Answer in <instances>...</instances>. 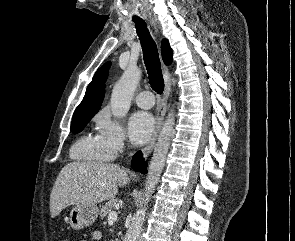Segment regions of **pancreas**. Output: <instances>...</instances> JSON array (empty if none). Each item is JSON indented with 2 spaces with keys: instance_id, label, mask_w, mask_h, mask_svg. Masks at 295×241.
Segmentation results:
<instances>
[{
  "instance_id": "1",
  "label": "pancreas",
  "mask_w": 295,
  "mask_h": 241,
  "mask_svg": "<svg viewBox=\"0 0 295 241\" xmlns=\"http://www.w3.org/2000/svg\"><path fill=\"white\" fill-rule=\"evenodd\" d=\"M116 206V200H109L99 211V216L104 218L107 214H109Z\"/></svg>"
}]
</instances>
